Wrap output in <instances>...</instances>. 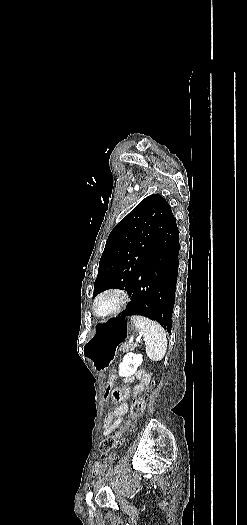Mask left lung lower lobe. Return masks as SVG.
Instances as JSON below:
<instances>
[{
    "instance_id": "1",
    "label": "left lung lower lobe",
    "mask_w": 247,
    "mask_h": 525,
    "mask_svg": "<svg viewBox=\"0 0 247 525\" xmlns=\"http://www.w3.org/2000/svg\"><path fill=\"white\" fill-rule=\"evenodd\" d=\"M179 248V231L173 217L153 241L144 267L128 289L131 300L120 319L145 316L171 333Z\"/></svg>"
}]
</instances>
